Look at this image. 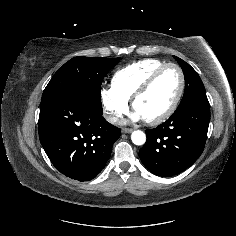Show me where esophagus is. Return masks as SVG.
<instances>
[{"mask_svg":"<svg viewBox=\"0 0 236 236\" xmlns=\"http://www.w3.org/2000/svg\"><path fill=\"white\" fill-rule=\"evenodd\" d=\"M132 131H133V129H131V128H123L122 129L123 133H131Z\"/></svg>","mask_w":236,"mask_h":236,"instance_id":"1","label":"esophagus"}]
</instances>
